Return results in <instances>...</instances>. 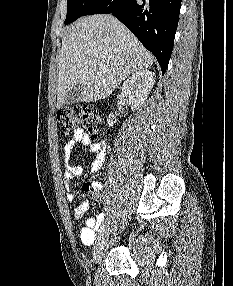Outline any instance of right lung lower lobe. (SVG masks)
Instances as JSON below:
<instances>
[{"label": "right lung lower lobe", "mask_w": 233, "mask_h": 286, "mask_svg": "<svg viewBox=\"0 0 233 286\" xmlns=\"http://www.w3.org/2000/svg\"><path fill=\"white\" fill-rule=\"evenodd\" d=\"M181 0H97L85 13L112 14L152 52L165 73L174 44Z\"/></svg>", "instance_id": "98d812e1"}]
</instances>
